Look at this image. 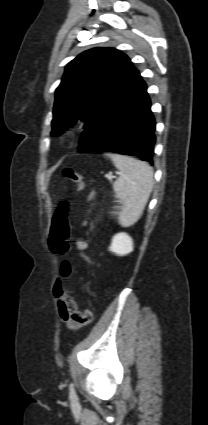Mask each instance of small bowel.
Instances as JSON below:
<instances>
[{"mask_svg":"<svg viewBox=\"0 0 208 425\" xmlns=\"http://www.w3.org/2000/svg\"><path fill=\"white\" fill-rule=\"evenodd\" d=\"M92 196H93V194H92ZM79 247L80 248H86L87 244L84 241H80ZM57 304H58L59 315H60L62 321H64L71 328L76 327L77 325L70 319V317L68 315L65 302L61 299H57Z\"/></svg>","mask_w":208,"mask_h":425,"instance_id":"obj_1","label":"small bowel"}]
</instances>
